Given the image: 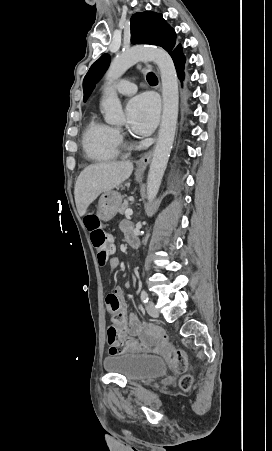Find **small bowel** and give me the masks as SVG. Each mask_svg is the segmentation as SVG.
<instances>
[{
  "label": "small bowel",
  "instance_id": "1",
  "mask_svg": "<svg viewBox=\"0 0 272 451\" xmlns=\"http://www.w3.org/2000/svg\"><path fill=\"white\" fill-rule=\"evenodd\" d=\"M121 230L124 232L127 241L130 235H135L132 225L129 221H123L121 223ZM108 241L110 243V241H112V238H110ZM118 266L119 259L117 257L112 256L111 258H109V269H115ZM106 303L108 311L113 315V318L118 314H123L126 318L127 304L124 300V291L121 287H116L113 292L107 295ZM118 337L120 339L126 337H139L143 344L154 348L160 346L163 343L162 341L164 339V335L159 328L154 326H143L139 318L134 313H130L128 315L125 327L120 328L118 331Z\"/></svg>",
  "mask_w": 272,
  "mask_h": 451
}]
</instances>
